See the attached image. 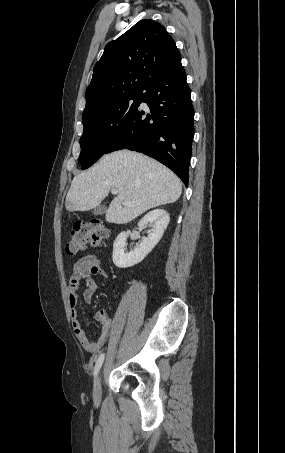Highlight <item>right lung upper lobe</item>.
Returning <instances> with one entry per match:
<instances>
[{
  "label": "right lung upper lobe",
  "mask_w": 285,
  "mask_h": 453,
  "mask_svg": "<svg viewBox=\"0 0 285 453\" xmlns=\"http://www.w3.org/2000/svg\"><path fill=\"white\" fill-rule=\"evenodd\" d=\"M181 56L165 27L150 19L109 42L95 64L85 111L130 93H142L155 77L174 68Z\"/></svg>",
  "instance_id": "cb5924a9"
}]
</instances>
